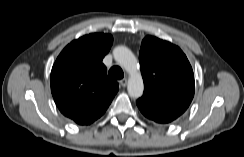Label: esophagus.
<instances>
[{
	"label": "esophagus",
	"mask_w": 244,
	"mask_h": 157,
	"mask_svg": "<svg viewBox=\"0 0 244 157\" xmlns=\"http://www.w3.org/2000/svg\"><path fill=\"white\" fill-rule=\"evenodd\" d=\"M120 85L122 87H125L127 85V78H124V79L120 80Z\"/></svg>",
	"instance_id": "esophagus-1"
}]
</instances>
